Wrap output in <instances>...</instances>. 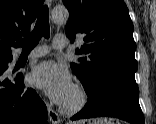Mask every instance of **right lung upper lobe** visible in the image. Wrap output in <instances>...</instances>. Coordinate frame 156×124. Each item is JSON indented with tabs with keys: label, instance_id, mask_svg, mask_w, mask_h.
Listing matches in <instances>:
<instances>
[{
	"label": "right lung upper lobe",
	"instance_id": "cb5924a9",
	"mask_svg": "<svg viewBox=\"0 0 156 124\" xmlns=\"http://www.w3.org/2000/svg\"><path fill=\"white\" fill-rule=\"evenodd\" d=\"M44 0H0V59L12 57L15 40L30 32Z\"/></svg>",
	"mask_w": 156,
	"mask_h": 124
}]
</instances>
